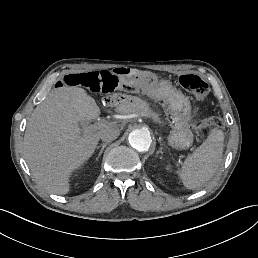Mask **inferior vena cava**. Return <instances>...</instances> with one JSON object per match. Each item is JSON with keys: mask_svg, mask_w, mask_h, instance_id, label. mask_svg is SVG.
<instances>
[{"mask_svg": "<svg viewBox=\"0 0 258 258\" xmlns=\"http://www.w3.org/2000/svg\"><path fill=\"white\" fill-rule=\"evenodd\" d=\"M119 129L114 126H107L101 131L100 138L102 141L111 142L119 136Z\"/></svg>", "mask_w": 258, "mask_h": 258, "instance_id": "1", "label": "inferior vena cava"}]
</instances>
